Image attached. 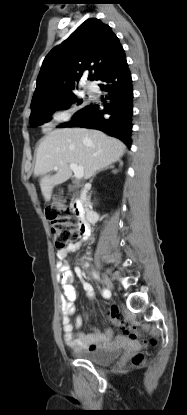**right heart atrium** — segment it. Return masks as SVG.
<instances>
[{
  "mask_svg": "<svg viewBox=\"0 0 187 415\" xmlns=\"http://www.w3.org/2000/svg\"><path fill=\"white\" fill-rule=\"evenodd\" d=\"M71 119V111L65 108H59L52 111L49 120L53 125L66 124Z\"/></svg>",
  "mask_w": 187,
  "mask_h": 415,
  "instance_id": "right-heart-atrium-1",
  "label": "right heart atrium"
}]
</instances>
